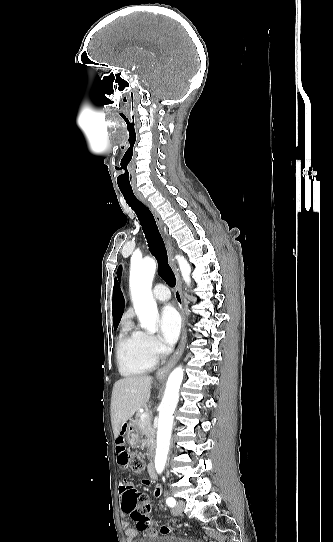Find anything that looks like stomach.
I'll use <instances>...</instances> for the list:
<instances>
[{
    "label": "stomach",
    "instance_id": "1",
    "mask_svg": "<svg viewBox=\"0 0 333 542\" xmlns=\"http://www.w3.org/2000/svg\"><path fill=\"white\" fill-rule=\"evenodd\" d=\"M126 440L127 444H130V446H137L140 440L138 428L133 420H130L126 426Z\"/></svg>",
    "mask_w": 333,
    "mask_h": 542
}]
</instances>
